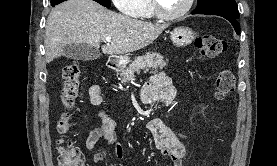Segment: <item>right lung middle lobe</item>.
<instances>
[{"label": "right lung middle lobe", "instance_id": "dd1d6c3e", "mask_svg": "<svg viewBox=\"0 0 277 166\" xmlns=\"http://www.w3.org/2000/svg\"><path fill=\"white\" fill-rule=\"evenodd\" d=\"M59 0H51V3L57 2ZM99 4L103 5L104 7L110 8V0H94Z\"/></svg>", "mask_w": 277, "mask_h": 166}]
</instances>
